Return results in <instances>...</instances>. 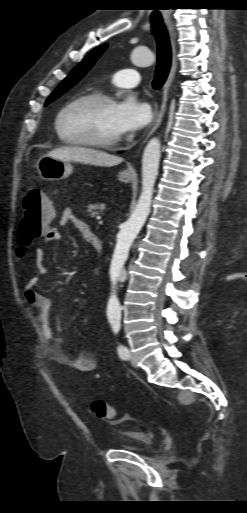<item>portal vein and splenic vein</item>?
I'll return each instance as SVG.
<instances>
[{
	"label": "portal vein and splenic vein",
	"instance_id": "obj_1",
	"mask_svg": "<svg viewBox=\"0 0 247 513\" xmlns=\"http://www.w3.org/2000/svg\"><path fill=\"white\" fill-rule=\"evenodd\" d=\"M97 219L99 220V221H98V223H99V224H102V223H103V221L101 220V217H100V216H99V217H97Z\"/></svg>",
	"mask_w": 247,
	"mask_h": 513
}]
</instances>
